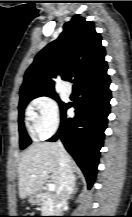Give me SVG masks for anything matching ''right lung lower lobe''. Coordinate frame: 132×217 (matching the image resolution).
<instances>
[{
	"mask_svg": "<svg viewBox=\"0 0 132 217\" xmlns=\"http://www.w3.org/2000/svg\"><path fill=\"white\" fill-rule=\"evenodd\" d=\"M109 77L78 88L79 100L66 104L61 111L58 133L49 139L56 141L58 134L66 150L83 171L88 188L94 183L100 148L103 146L107 116L110 113L111 91ZM74 107L75 117L67 118L66 109Z\"/></svg>",
	"mask_w": 132,
	"mask_h": 217,
	"instance_id": "right-lung-lower-lobe-1",
	"label": "right lung lower lobe"
}]
</instances>
